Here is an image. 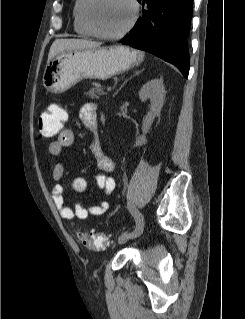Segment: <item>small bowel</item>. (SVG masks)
Here are the masks:
<instances>
[{
  "instance_id": "small-bowel-1",
  "label": "small bowel",
  "mask_w": 245,
  "mask_h": 319,
  "mask_svg": "<svg viewBox=\"0 0 245 319\" xmlns=\"http://www.w3.org/2000/svg\"><path fill=\"white\" fill-rule=\"evenodd\" d=\"M52 105L51 107H55ZM81 120L92 130H97L98 113L95 104L87 103L80 111ZM74 142V133L71 129L62 130L57 139L49 144V153L53 156H60L63 150L71 146ZM94 155L97 160L98 174L97 181L99 187L107 194L114 192L116 188V181L114 177L107 175L108 172L115 170V163L111 157L104 154L98 145L94 146ZM65 175V167L61 162H57L52 168V177L54 180L59 181ZM86 189V180L83 177H75L70 185V191L72 193H82ZM64 186L62 184H56L52 189V199L55 207L57 208L60 216L66 221H73L78 219L84 221L88 216H100L103 215L109 208L108 202L104 201L98 206H85L81 203L75 204L71 209L66 205L64 200Z\"/></svg>"
}]
</instances>
